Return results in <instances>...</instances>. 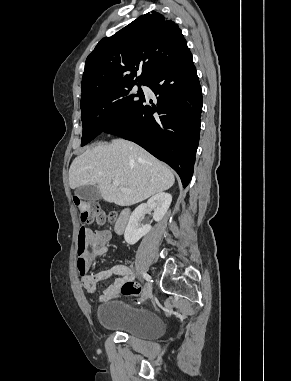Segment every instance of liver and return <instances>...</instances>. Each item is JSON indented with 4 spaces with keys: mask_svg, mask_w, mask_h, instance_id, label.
I'll use <instances>...</instances> for the list:
<instances>
[{
    "mask_svg": "<svg viewBox=\"0 0 291 381\" xmlns=\"http://www.w3.org/2000/svg\"><path fill=\"white\" fill-rule=\"evenodd\" d=\"M118 180L120 186L113 185ZM173 172L142 147L114 139L77 156L69 169L71 189L96 185L101 197L130 206L171 188Z\"/></svg>",
    "mask_w": 291,
    "mask_h": 381,
    "instance_id": "liver-1",
    "label": "liver"
}]
</instances>
